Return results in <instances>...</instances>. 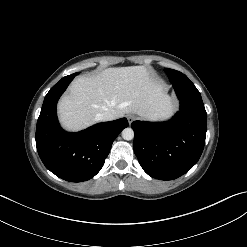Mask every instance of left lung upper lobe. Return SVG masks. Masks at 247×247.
Here are the masks:
<instances>
[{
	"label": "left lung upper lobe",
	"instance_id": "5c2ea615",
	"mask_svg": "<svg viewBox=\"0 0 247 247\" xmlns=\"http://www.w3.org/2000/svg\"><path fill=\"white\" fill-rule=\"evenodd\" d=\"M166 72V74L169 77L170 82L175 85V84H179V85H189V84H193L186 75H184L183 73L173 70V69H169L166 68L164 70Z\"/></svg>",
	"mask_w": 247,
	"mask_h": 247
}]
</instances>
